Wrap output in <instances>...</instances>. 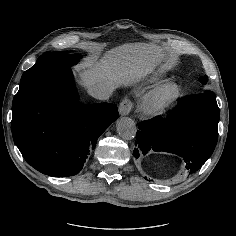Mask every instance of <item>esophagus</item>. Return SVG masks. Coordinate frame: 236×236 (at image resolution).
Listing matches in <instances>:
<instances>
[{"label":"esophagus","mask_w":236,"mask_h":236,"mask_svg":"<svg viewBox=\"0 0 236 236\" xmlns=\"http://www.w3.org/2000/svg\"><path fill=\"white\" fill-rule=\"evenodd\" d=\"M133 101L130 99H124L119 105V112L121 116H127L133 108Z\"/></svg>","instance_id":"34e87169"}]
</instances>
